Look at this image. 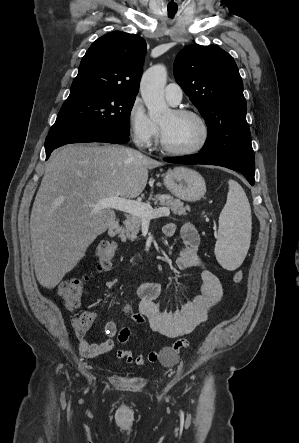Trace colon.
Segmentation results:
<instances>
[{"instance_id": "colon-1", "label": "colon", "mask_w": 299, "mask_h": 443, "mask_svg": "<svg viewBox=\"0 0 299 443\" xmlns=\"http://www.w3.org/2000/svg\"><path fill=\"white\" fill-rule=\"evenodd\" d=\"M96 269L99 272L109 269L116 258V245L114 242L103 240L98 243L95 250ZM244 279V272L237 270L234 272L233 281L240 283ZM88 280V276L71 277L63 280L58 287V295L62 299L64 306L68 310L77 309L82 300L84 284ZM124 320L129 324H134L136 320L135 311L132 308H126L122 312ZM93 320L89 313H84L76 317L73 321L74 329L78 334H84L89 329ZM174 356L167 349L162 353V359L165 362H171Z\"/></svg>"}]
</instances>
